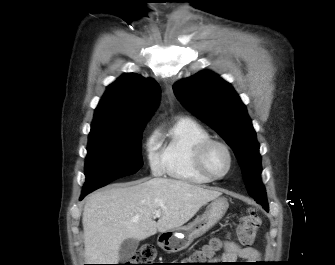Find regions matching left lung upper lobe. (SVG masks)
<instances>
[{
	"instance_id": "5c2ea615",
	"label": "left lung upper lobe",
	"mask_w": 335,
	"mask_h": 265,
	"mask_svg": "<svg viewBox=\"0 0 335 265\" xmlns=\"http://www.w3.org/2000/svg\"><path fill=\"white\" fill-rule=\"evenodd\" d=\"M173 90L182 104L212 127L233 149L248 194L268 210L261 182L259 144L245 105L233 87L211 71L181 80Z\"/></svg>"
}]
</instances>
